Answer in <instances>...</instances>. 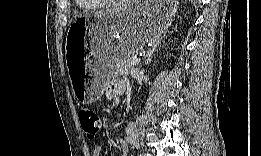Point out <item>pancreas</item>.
I'll return each mask as SVG.
<instances>
[{
    "instance_id": "1",
    "label": "pancreas",
    "mask_w": 261,
    "mask_h": 156,
    "mask_svg": "<svg viewBox=\"0 0 261 156\" xmlns=\"http://www.w3.org/2000/svg\"><path fill=\"white\" fill-rule=\"evenodd\" d=\"M133 56H123L118 61L114 62L110 68V73L119 75H128L133 66L130 65Z\"/></svg>"
}]
</instances>
